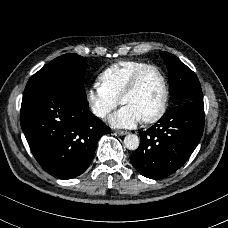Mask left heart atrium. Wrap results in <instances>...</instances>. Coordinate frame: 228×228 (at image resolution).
<instances>
[{"mask_svg": "<svg viewBox=\"0 0 228 228\" xmlns=\"http://www.w3.org/2000/svg\"><path fill=\"white\" fill-rule=\"evenodd\" d=\"M141 121L142 118L140 115L129 106H124L109 118V122L112 126L123 128H133Z\"/></svg>", "mask_w": 228, "mask_h": 228, "instance_id": "left-heart-atrium-1", "label": "left heart atrium"}]
</instances>
